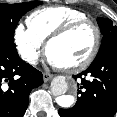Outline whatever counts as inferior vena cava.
<instances>
[{
    "mask_svg": "<svg viewBox=\"0 0 117 117\" xmlns=\"http://www.w3.org/2000/svg\"><path fill=\"white\" fill-rule=\"evenodd\" d=\"M31 63H32V64H36V63H37V61H36V60H33Z\"/></svg>",
    "mask_w": 117,
    "mask_h": 117,
    "instance_id": "inferior-vena-cava-1",
    "label": "inferior vena cava"
}]
</instances>
